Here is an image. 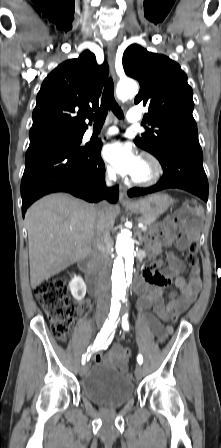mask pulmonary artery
I'll return each mask as SVG.
<instances>
[{
  "label": "pulmonary artery",
  "instance_id": "obj_1",
  "mask_svg": "<svg viewBox=\"0 0 221 448\" xmlns=\"http://www.w3.org/2000/svg\"><path fill=\"white\" fill-rule=\"evenodd\" d=\"M141 117H142V111L141 110L132 108V109H130L128 111L127 119H128L129 122L136 123V122H138L141 119ZM117 133H118V129L116 127L112 126V127H108V128L102 129L100 131L99 135H103V136H106V137H113V136H116ZM92 135H94V132L90 131L88 136H92Z\"/></svg>",
  "mask_w": 221,
  "mask_h": 448
}]
</instances>
